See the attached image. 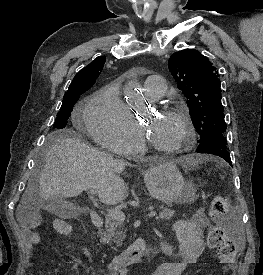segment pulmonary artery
<instances>
[{
    "instance_id": "e3ab8cb5",
    "label": "pulmonary artery",
    "mask_w": 263,
    "mask_h": 275,
    "mask_svg": "<svg viewBox=\"0 0 263 275\" xmlns=\"http://www.w3.org/2000/svg\"><path fill=\"white\" fill-rule=\"evenodd\" d=\"M144 89L152 99H160L166 92L165 80L159 75L148 76L144 82Z\"/></svg>"
}]
</instances>
